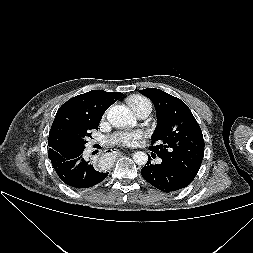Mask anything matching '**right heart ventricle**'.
I'll return each instance as SVG.
<instances>
[{
    "mask_svg": "<svg viewBox=\"0 0 253 253\" xmlns=\"http://www.w3.org/2000/svg\"><path fill=\"white\" fill-rule=\"evenodd\" d=\"M128 105L134 111L142 106L151 105L150 101L143 96L133 95L127 99Z\"/></svg>",
    "mask_w": 253,
    "mask_h": 253,
    "instance_id": "right-heart-ventricle-1",
    "label": "right heart ventricle"
}]
</instances>
